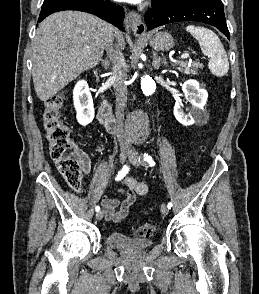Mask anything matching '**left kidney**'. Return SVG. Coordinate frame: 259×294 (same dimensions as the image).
<instances>
[{"instance_id":"1","label":"left kidney","mask_w":259,"mask_h":294,"mask_svg":"<svg viewBox=\"0 0 259 294\" xmlns=\"http://www.w3.org/2000/svg\"><path fill=\"white\" fill-rule=\"evenodd\" d=\"M182 91L186 99L191 103V107L188 113H185L182 101H176L173 112L177 121L182 125L190 126L205 119L204 106L208 98L207 91L202 89L199 82L194 79L184 82Z\"/></svg>"}]
</instances>
